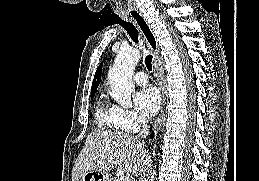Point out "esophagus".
Here are the masks:
<instances>
[{
    "instance_id": "34e87169",
    "label": "esophagus",
    "mask_w": 259,
    "mask_h": 181,
    "mask_svg": "<svg viewBox=\"0 0 259 181\" xmlns=\"http://www.w3.org/2000/svg\"><path fill=\"white\" fill-rule=\"evenodd\" d=\"M132 15H133L134 21L140 28L149 48L151 49V51L153 53L154 67H155V70L157 71V74L160 79L159 83H160V88H161V92H162V108H161V112L153 126L155 133H157L160 130V127L162 124V120H163V116H164V108H165V104H166V93H165V90L163 87V71H162L160 55H159L160 54L159 45H158L154 32L152 31L149 23L144 18V16L141 13H135Z\"/></svg>"
}]
</instances>
